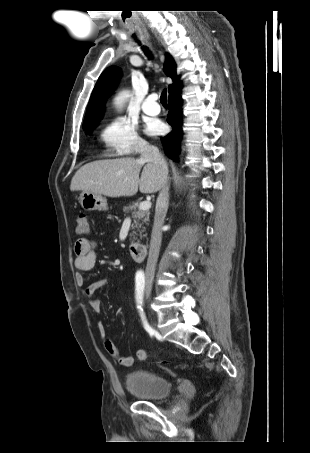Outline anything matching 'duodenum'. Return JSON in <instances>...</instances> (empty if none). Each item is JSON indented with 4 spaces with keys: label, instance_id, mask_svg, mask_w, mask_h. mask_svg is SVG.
Returning <instances> with one entry per match:
<instances>
[{
    "label": "duodenum",
    "instance_id": "obj_1",
    "mask_svg": "<svg viewBox=\"0 0 310 453\" xmlns=\"http://www.w3.org/2000/svg\"><path fill=\"white\" fill-rule=\"evenodd\" d=\"M130 253L132 258L137 261L141 262L144 261L147 256V247L142 243H132L130 245Z\"/></svg>",
    "mask_w": 310,
    "mask_h": 453
}]
</instances>
